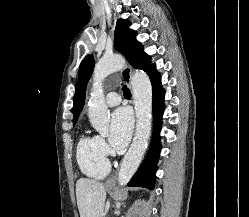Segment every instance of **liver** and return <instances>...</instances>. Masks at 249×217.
<instances>
[{"label":"liver","mask_w":249,"mask_h":217,"mask_svg":"<svg viewBox=\"0 0 249 217\" xmlns=\"http://www.w3.org/2000/svg\"><path fill=\"white\" fill-rule=\"evenodd\" d=\"M76 197L80 217H102L106 199L102 182L80 178L76 182Z\"/></svg>","instance_id":"6515ba94"}]
</instances>
